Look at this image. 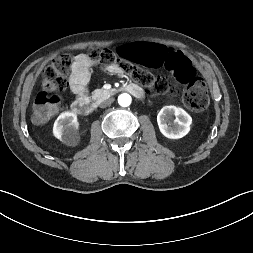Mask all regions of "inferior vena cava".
<instances>
[{"instance_id": "602c4592", "label": "inferior vena cava", "mask_w": 253, "mask_h": 253, "mask_svg": "<svg viewBox=\"0 0 253 253\" xmlns=\"http://www.w3.org/2000/svg\"><path fill=\"white\" fill-rule=\"evenodd\" d=\"M112 102H113V99H107V100H105V101H103L101 104H100V107L101 108H105V107H107V106H110L111 104H112Z\"/></svg>"}]
</instances>
